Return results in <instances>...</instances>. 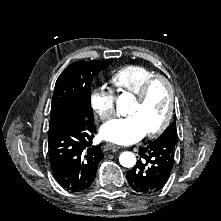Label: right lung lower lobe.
I'll use <instances>...</instances> for the list:
<instances>
[{
  "instance_id": "obj_1",
  "label": "right lung lower lobe",
  "mask_w": 221,
  "mask_h": 221,
  "mask_svg": "<svg viewBox=\"0 0 221 221\" xmlns=\"http://www.w3.org/2000/svg\"><path fill=\"white\" fill-rule=\"evenodd\" d=\"M93 120L66 110L49 123V160L54 177L63 188L73 192L90 187L104 157L100 146L92 145L96 133Z\"/></svg>"
}]
</instances>
